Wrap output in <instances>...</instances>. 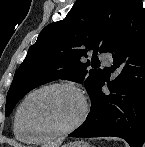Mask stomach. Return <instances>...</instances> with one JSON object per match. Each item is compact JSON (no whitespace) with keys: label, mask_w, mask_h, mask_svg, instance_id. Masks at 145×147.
Returning <instances> with one entry per match:
<instances>
[{"label":"stomach","mask_w":145,"mask_h":147,"mask_svg":"<svg viewBox=\"0 0 145 147\" xmlns=\"http://www.w3.org/2000/svg\"><path fill=\"white\" fill-rule=\"evenodd\" d=\"M63 147H88V145L83 141H77L65 144Z\"/></svg>","instance_id":"obj_1"}]
</instances>
